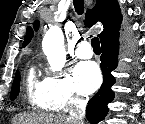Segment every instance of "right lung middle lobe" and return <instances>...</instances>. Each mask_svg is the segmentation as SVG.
<instances>
[{
	"mask_svg": "<svg viewBox=\"0 0 145 124\" xmlns=\"http://www.w3.org/2000/svg\"><path fill=\"white\" fill-rule=\"evenodd\" d=\"M19 86H20V74L17 71L16 75L14 77V81L12 84V89H11V93H10V98L11 100H14L16 98V96L19 93Z\"/></svg>",
	"mask_w": 145,
	"mask_h": 124,
	"instance_id": "dd1d6c3e",
	"label": "right lung middle lobe"
}]
</instances>
